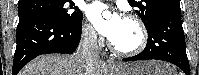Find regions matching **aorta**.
Wrapping results in <instances>:
<instances>
[{"label": "aorta", "instance_id": "aorta-1", "mask_svg": "<svg viewBox=\"0 0 199 75\" xmlns=\"http://www.w3.org/2000/svg\"><path fill=\"white\" fill-rule=\"evenodd\" d=\"M110 16H111L110 12H108V11L103 12L104 18H109Z\"/></svg>", "mask_w": 199, "mask_h": 75}]
</instances>
